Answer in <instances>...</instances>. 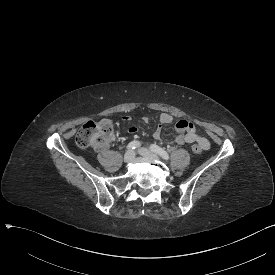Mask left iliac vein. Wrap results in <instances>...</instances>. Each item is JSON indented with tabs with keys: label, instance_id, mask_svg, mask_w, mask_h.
<instances>
[{
	"label": "left iliac vein",
	"instance_id": "obj_1",
	"mask_svg": "<svg viewBox=\"0 0 275 275\" xmlns=\"http://www.w3.org/2000/svg\"><path fill=\"white\" fill-rule=\"evenodd\" d=\"M138 153L149 159H158V156L155 153L145 147L138 149Z\"/></svg>",
	"mask_w": 275,
	"mask_h": 275
}]
</instances>
